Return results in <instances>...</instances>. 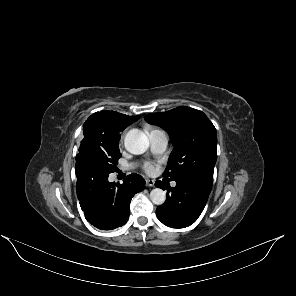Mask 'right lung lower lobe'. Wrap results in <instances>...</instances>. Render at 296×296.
Instances as JSON below:
<instances>
[{
	"label": "right lung lower lobe",
	"instance_id": "obj_1",
	"mask_svg": "<svg viewBox=\"0 0 296 296\" xmlns=\"http://www.w3.org/2000/svg\"><path fill=\"white\" fill-rule=\"evenodd\" d=\"M109 173L88 155L76 156V190L85 218L101 230H113L124 225L129 217L132 197L145 188V180L129 175L119 184L108 181Z\"/></svg>",
	"mask_w": 296,
	"mask_h": 296
}]
</instances>
